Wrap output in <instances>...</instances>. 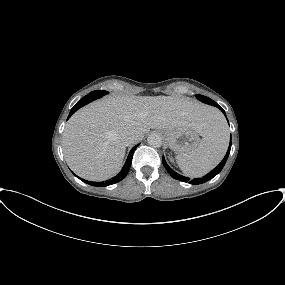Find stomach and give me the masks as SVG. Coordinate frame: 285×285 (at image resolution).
<instances>
[{
	"mask_svg": "<svg viewBox=\"0 0 285 285\" xmlns=\"http://www.w3.org/2000/svg\"><path fill=\"white\" fill-rule=\"evenodd\" d=\"M163 134L170 149L181 155L193 152L200 140L198 133L191 128L168 129Z\"/></svg>",
	"mask_w": 285,
	"mask_h": 285,
	"instance_id": "obj_1",
	"label": "stomach"
}]
</instances>
